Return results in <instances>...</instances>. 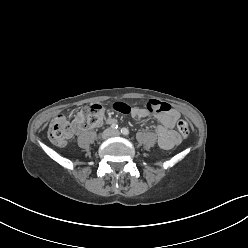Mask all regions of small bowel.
Masks as SVG:
<instances>
[{"instance_id":"small-bowel-1","label":"small bowel","mask_w":248,"mask_h":248,"mask_svg":"<svg viewBox=\"0 0 248 248\" xmlns=\"http://www.w3.org/2000/svg\"><path fill=\"white\" fill-rule=\"evenodd\" d=\"M130 113L138 119H144L149 115L146 109L139 107L133 108ZM157 117L161 123L155 130L158 144L163 149H171L180 141L178 134L173 130L175 122L179 118V113L175 109H170L162 112Z\"/></svg>"}]
</instances>
